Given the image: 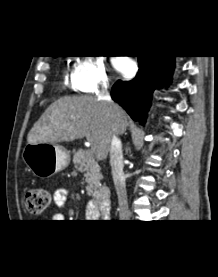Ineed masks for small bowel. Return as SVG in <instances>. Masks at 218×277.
Returning a JSON list of instances; mask_svg holds the SVG:
<instances>
[{
	"mask_svg": "<svg viewBox=\"0 0 218 277\" xmlns=\"http://www.w3.org/2000/svg\"><path fill=\"white\" fill-rule=\"evenodd\" d=\"M69 193L66 189H58L54 192L53 201L58 208H64L67 204ZM87 215L89 218H96L99 216V210L94 202L87 203ZM54 219H63V215L57 213Z\"/></svg>",
	"mask_w": 218,
	"mask_h": 277,
	"instance_id": "obj_1",
	"label": "small bowel"
}]
</instances>
